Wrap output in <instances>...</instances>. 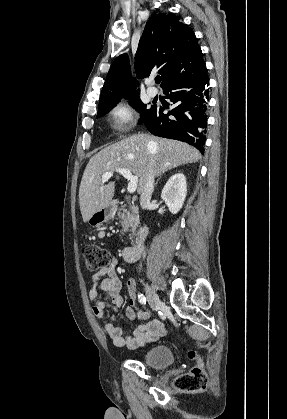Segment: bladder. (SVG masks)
<instances>
[{"label": "bladder", "instance_id": "1", "mask_svg": "<svg viewBox=\"0 0 287 419\" xmlns=\"http://www.w3.org/2000/svg\"><path fill=\"white\" fill-rule=\"evenodd\" d=\"M142 360L151 367L166 368L174 361V355L170 347L156 346L149 349Z\"/></svg>", "mask_w": 287, "mask_h": 419}]
</instances>
